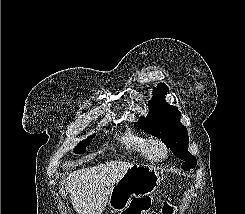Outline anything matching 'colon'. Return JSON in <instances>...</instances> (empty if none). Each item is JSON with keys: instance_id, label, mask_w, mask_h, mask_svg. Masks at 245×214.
I'll list each match as a JSON object with an SVG mask.
<instances>
[{"instance_id": "1", "label": "colon", "mask_w": 245, "mask_h": 214, "mask_svg": "<svg viewBox=\"0 0 245 214\" xmlns=\"http://www.w3.org/2000/svg\"><path fill=\"white\" fill-rule=\"evenodd\" d=\"M151 201L147 198L133 200L129 207L121 214H149ZM175 206L170 199L164 201L162 206V214H173ZM155 214V213H151Z\"/></svg>"}]
</instances>
